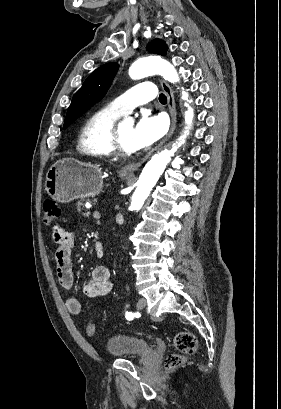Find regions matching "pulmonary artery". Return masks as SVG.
<instances>
[{
  "mask_svg": "<svg viewBox=\"0 0 281 409\" xmlns=\"http://www.w3.org/2000/svg\"><path fill=\"white\" fill-rule=\"evenodd\" d=\"M156 89L150 81H137L131 90H123L122 97H114L111 110L120 115L134 110L136 106L150 103L155 97Z\"/></svg>",
  "mask_w": 281,
  "mask_h": 409,
  "instance_id": "e3ab8cb5",
  "label": "pulmonary artery"
}]
</instances>
